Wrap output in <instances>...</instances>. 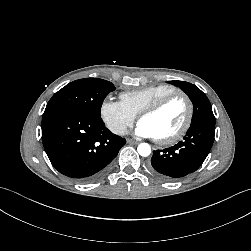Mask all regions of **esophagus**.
<instances>
[{"instance_id":"obj_1","label":"esophagus","mask_w":251,"mask_h":251,"mask_svg":"<svg viewBox=\"0 0 251 251\" xmlns=\"http://www.w3.org/2000/svg\"><path fill=\"white\" fill-rule=\"evenodd\" d=\"M127 143L137 145L139 142L137 140L127 139Z\"/></svg>"}]
</instances>
